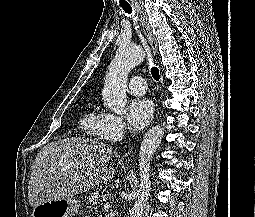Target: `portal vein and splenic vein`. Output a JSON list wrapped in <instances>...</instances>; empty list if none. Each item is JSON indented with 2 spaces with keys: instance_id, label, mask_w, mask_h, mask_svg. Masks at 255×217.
Listing matches in <instances>:
<instances>
[{
  "instance_id": "1",
  "label": "portal vein and splenic vein",
  "mask_w": 255,
  "mask_h": 217,
  "mask_svg": "<svg viewBox=\"0 0 255 217\" xmlns=\"http://www.w3.org/2000/svg\"><path fill=\"white\" fill-rule=\"evenodd\" d=\"M110 207V204L109 203H105L104 204V208H109Z\"/></svg>"
}]
</instances>
